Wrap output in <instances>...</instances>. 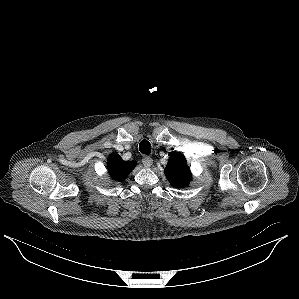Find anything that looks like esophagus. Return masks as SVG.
Returning a JSON list of instances; mask_svg holds the SVG:
<instances>
[{
  "instance_id": "obj_1",
  "label": "esophagus",
  "mask_w": 299,
  "mask_h": 299,
  "mask_svg": "<svg viewBox=\"0 0 299 299\" xmlns=\"http://www.w3.org/2000/svg\"><path fill=\"white\" fill-rule=\"evenodd\" d=\"M142 163L145 167L149 168L153 164V159L149 156H144L142 159Z\"/></svg>"
}]
</instances>
